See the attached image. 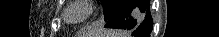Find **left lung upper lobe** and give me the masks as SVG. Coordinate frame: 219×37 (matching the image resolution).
Listing matches in <instances>:
<instances>
[{
	"label": "left lung upper lobe",
	"mask_w": 219,
	"mask_h": 37,
	"mask_svg": "<svg viewBox=\"0 0 219 37\" xmlns=\"http://www.w3.org/2000/svg\"><path fill=\"white\" fill-rule=\"evenodd\" d=\"M104 9V19L108 21L119 0H100Z\"/></svg>",
	"instance_id": "obj_1"
}]
</instances>
